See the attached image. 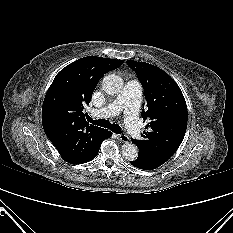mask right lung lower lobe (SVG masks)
I'll return each instance as SVG.
<instances>
[{"label": "right lung lower lobe", "mask_w": 233, "mask_h": 233, "mask_svg": "<svg viewBox=\"0 0 233 233\" xmlns=\"http://www.w3.org/2000/svg\"><path fill=\"white\" fill-rule=\"evenodd\" d=\"M111 135H112V132H110V131H108V130H105L104 133H103V135H102L101 140H100L99 143L94 147V149H92L81 161L77 162L76 164L85 163V162H88V161L94 159V158L97 156L98 152H99V148H100V146H101V143H102L105 139L111 137Z\"/></svg>", "instance_id": "1"}]
</instances>
